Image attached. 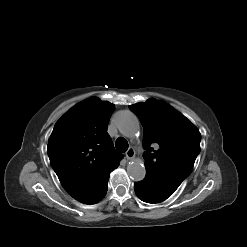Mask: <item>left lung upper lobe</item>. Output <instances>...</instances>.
<instances>
[{"instance_id":"left-lung-upper-lobe-1","label":"left lung upper lobe","mask_w":247,"mask_h":247,"mask_svg":"<svg viewBox=\"0 0 247 247\" xmlns=\"http://www.w3.org/2000/svg\"><path fill=\"white\" fill-rule=\"evenodd\" d=\"M130 109L139 117L144 129L146 176L174 193L191 173L200 152L199 130L163 101L149 99L130 105Z\"/></svg>"}]
</instances>
